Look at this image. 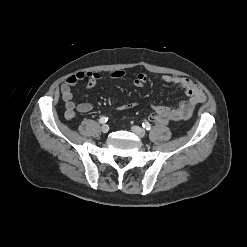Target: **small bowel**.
<instances>
[{"mask_svg": "<svg viewBox=\"0 0 247 247\" xmlns=\"http://www.w3.org/2000/svg\"><path fill=\"white\" fill-rule=\"evenodd\" d=\"M125 76L126 72L124 70H116L110 74V78L112 79H122ZM104 78L105 76L101 73L79 71L70 75L63 81L60 86V92L65 105V118L67 120H73L76 118L77 113H88L94 108L93 104L89 102L76 104L73 101L72 87L79 81L85 80L87 87L93 88L99 80ZM161 79L167 84L176 85L182 88L188 98L187 100L182 101L176 108L155 105L153 109L157 114L163 115L174 121L187 120L192 116L197 105L205 101L204 91L191 79L173 75H163ZM148 80L149 78L146 74L139 73L133 79V85L141 88L148 82ZM135 106L136 103L130 102L122 104L116 107V109L121 111L134 108Z\"/></svg>", "mask_w": 247, "mask_h": 247, "instance_id": "small-bowel-1", "label": "small bowel"}]
</instances>
